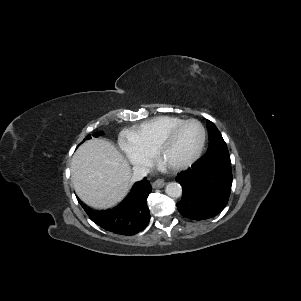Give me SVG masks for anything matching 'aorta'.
I'll use <instances>...</instances> for the list:
<instances>
[{"instance_id":"aorta-1","label":"aorta","mask_w":301,"mask_h":301,"mask_svg":"<svg viewBox=\"0 0 301 301\" xmlns=\"http://www.w3.org/2000/svg\"><path fill=\"white\" fill-rule=\"evenodd\" d=\"M165 192L172 198H179L182 195V187L176 182L168 183Z\"/></svg>"}]
</instances>
